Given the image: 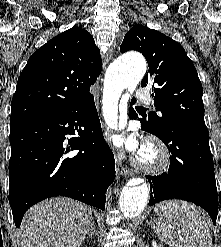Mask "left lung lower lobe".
Masks as SVG:
<instances>
[{
    "label": "left lung lower lobe",
    "mask_w": 221,
    "mask_h": 247,
    "mask_svg": "<svg viewBox=\"0 0 221 247\" xmlns=\"http://www.w3.org/2000/svg\"><path fill=\"white\" fill-rule=\"evenodd\" d=\"M135 102L133 98L131 119L138 117L132 108ZM140 121L142 129L160 138L172 154L168 172L159 176H146L151 189L149 205L168 199L190 201L204 208L216 225L218 195L208 130H187L183 126H174L165 135H160L144 119Z\"/></svg>",
    "instance_id": "obj_1"
}]
</instances>
